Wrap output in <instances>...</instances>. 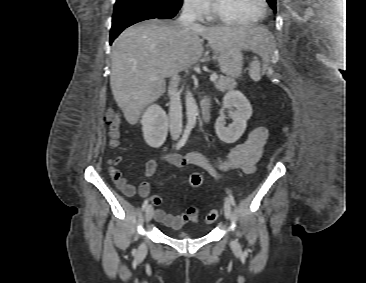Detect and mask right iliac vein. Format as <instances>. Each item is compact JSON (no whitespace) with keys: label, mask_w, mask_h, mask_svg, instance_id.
I'll return each mask as SVG.
<instances>
[{"label":"right iliac vein","mask_w":366,"mask_h":283,"mask_svg":"<svg viewBox=\"0 0 366 283\" xmlns=\"http://www.w3.org/2000/svg\"><path fill=\"white\" fill-rule=\"evenodd\" d=\"M153 217V207L151 205H149L147 208H146V211H145V218H146V221L149 222ZM145 250V245L142 244L140 246V251H144Z\"/></svg>","instance_id":"1"}]
</instances>
